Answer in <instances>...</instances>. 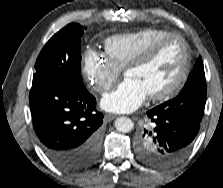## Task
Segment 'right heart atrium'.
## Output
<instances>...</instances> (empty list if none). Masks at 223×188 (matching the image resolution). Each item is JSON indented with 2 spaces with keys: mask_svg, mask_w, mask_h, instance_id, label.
<instances>
[{
  "mask_svg": "<svg viewBox=\"0 0 223 188\" xmlns=\"http://www.w3.org/2000/svg\"><path fill=\"white\" fill-rule=\"evenodd\" d=\"M82 73L90 87L103 94L116 82L120 68L106 54L89 50L84 55Z\"/></svg>",
  "mask_w": 223,
  "mask_h": 188,
  "instance_id": "obj_1",
  "label": "right heart atrium"
}]
</instances>
